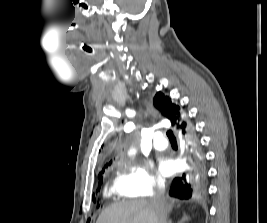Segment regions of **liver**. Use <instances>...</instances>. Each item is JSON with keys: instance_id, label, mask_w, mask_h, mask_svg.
Here are the masks:
<instances>
[{"instance_id": "obj_1", "label": "liver", "mask_w": 267, "mask_h": 223, "mask_svg": "<svg viewBox=\"0 0 267 223\" xmlns=\"http://www.w3.org/2000/svg\"><path fill=\"white\" fill-rule=\"evenodd\" d=\"M168 209L172 204H167ZM159 212L151 201L131 200L112 204L96 223H158Z\"/></svg>"}]
</instances>
